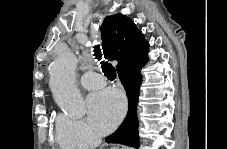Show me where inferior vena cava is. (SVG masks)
Returning a JSON list of instances; mask_svg holds the SVG:
<instances>
[{"mask_svg": "<svg viewBox=\"0 0 227 149\" xmlns=\"http://www.w3.org/2000/svg\"><path fill=\"white\" fill-rule=\"evenodd\" d=\"M96 138H97L96 142L100 143L101 142V138L99 136H96Z\"/></svg>", "mask_w": 227, "mask_h": 149, "instance_id": "1", "label": "inferior vena cava"}]
</instances>
